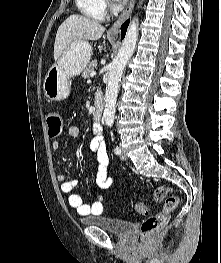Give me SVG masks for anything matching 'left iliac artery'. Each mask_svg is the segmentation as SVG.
<instances>
[{"mask_svg": "<svg viewBox=\"0 0 221 263\" xmlns=\"http://www.w3.org/2000/svg\"><path fill=\"white\" fill-rule=\"evenodd\" d=\"M114 152H115V154H120L121 153V149L119 147H116L114 149Z\"/></svg>", "mask_w": 221, "mask_h": 263, "instance_id": "44dca946", "label": "left iliac artery"}]
</instances>
